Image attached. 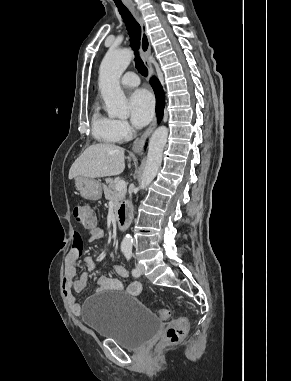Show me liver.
<instances>
[{"label":"liver","mask_w":291,"mask_h":381,"mask_svg":"<svg viewBox=\"0 0 291 381\" xmlns=\"http://www.w3.org/2000/svg\"><path fill=\"white\" fill-rule=\"evenodd\" d=\"M124 168V149L115 144L99 143L89 146L75 160L69 170V179L77 176L92 179L115 176L121 174Z\"/></svg>","instance_id":"obj_1"}]
</instances>
